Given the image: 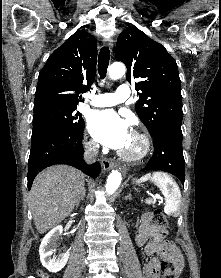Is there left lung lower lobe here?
Here are the masks:
<instances>
[{
  "label": "left lung lower lobe",
  "mask_w": 221,
  "mask_h": 278,
  "mask_svg": "<svg viewBox=\"0 0 221 278\" xmlns=\"http://www.w3.org/2000/svg\"><path fill=\"white\" fill-rule=\"evenodd\" d=\"M153 137L154 154L142 170H160L177 176L184 185L185 160L182 151V131L162 129Z\"/></svg>",
  "instance_id": "obj_1"
}]
</instances>
